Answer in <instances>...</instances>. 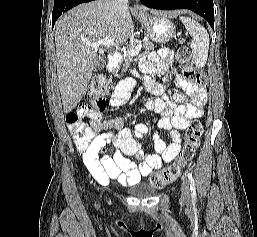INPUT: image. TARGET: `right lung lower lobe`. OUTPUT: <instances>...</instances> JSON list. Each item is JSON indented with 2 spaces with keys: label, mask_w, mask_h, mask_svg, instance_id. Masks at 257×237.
Instances as JSON below:
<instances>
[{
  "label": "right lung lower lobe",
  "mask_w": 257,
  "mask_h": 237,
  "mask_svg": "<svg viewBox=\"0 0 257 237\" xmlns=\"http://www.w3.org/2000/svg\"><path fill=\"white\" fill-rule=\"evenodd\" d=\"M89 1L92 0H54V8L52 12V29L56 20L62 13L66 12L67 10L73 8L80 3Z\"/></svg>",
  "instance_id": "98d812e1"
}]
</instances>
